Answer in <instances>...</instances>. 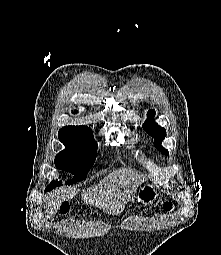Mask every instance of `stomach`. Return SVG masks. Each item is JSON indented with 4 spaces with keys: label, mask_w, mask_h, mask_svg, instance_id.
Instances as JSON below:
<instances>
[{
    "label": "stomach",
    "mask_w": 221,
    "mask_h": 255,
    "mask_svg": "<svg viewBox=\"0 0 221 255\" xmlns=\"http://www.w3.org/2000/svg\"><path fill=\"white\" fill-rule=\"evenodd\" d=\"M159 197L157 189L152 184L141 186L137 193L138 203L144 206L152 205Z\"/></svg>",
    "instance_id": "0dacf381"
}]
</instances>
